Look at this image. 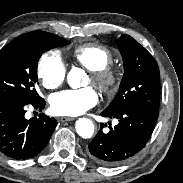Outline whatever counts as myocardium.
<instances>
[{"label": "myocardium", "instance_id": "myocardium-1", "mask_svg": "<svg viewBox=\"0 0 183 183\" xmlns=\"http://www.w3.org/2000/svg\"><path fill=\"white\" fill-rule=\"evenodd\" d=\"M119 80L118 70L112 67L107 66L100 70L91 71V81L104 93L112 92L117 87Z\"/></svg>", "mask_w": 183, "mask_h": 183}]
</instances>
